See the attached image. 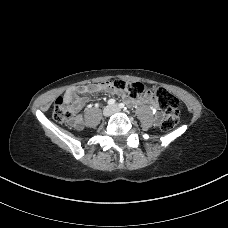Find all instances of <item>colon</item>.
I'll list each match as a JSON object with an SVG mask.
<instances>
[{"mask_svg": "<svg viewBox=\"0 0 228 228\" xmlns=\"http://www.w3.org/2000/svg\"><path fill=\"white\" fill-rule=\"evenodd\" d=\"M112 86L119 93L132 98L153 94L165 110V117L161 126L163 131H170L178 124L180 119L179 100L163 87H148L141 82H125L122 80L112 82ZM53 118L60 123L71 122L75 119V110L64 97L56 99Z\"/></svg>", "mask_w": 228, "mask_h": 228, "instance_id": "colon-1", "label": "colon"}]
</instances>
